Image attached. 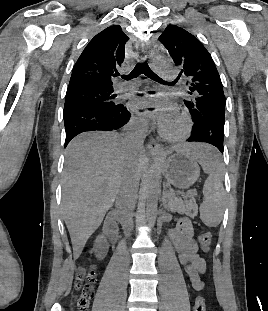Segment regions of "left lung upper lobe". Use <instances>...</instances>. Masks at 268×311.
I'll use <instances>...</instances> for the list:
<instances>
[{
    "label": "left lung upper lobe",
    "instance_id": "5c2ea615",
    "mask_svg": "<svg viewBox=\"0 0 268 311\" xmlns=\"http://www.w3.org/2000/svg\"><path fill=\"white\" fill-rule=\"evenodd\" d=\"M175 65L186 77L188 100H184L193 122L198 121L212 107H225L223 85L215 63L192 34L176 25L167 26L159 37Z\"/></svg>",
    "mask_w": 268,
    "mask_h": 311
}]
</instances>
